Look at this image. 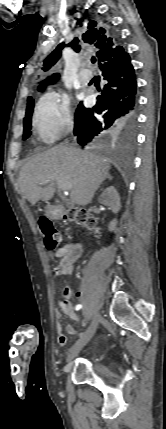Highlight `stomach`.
<instances>
[{"mask_svg":"<svg viewBox=\"0 0 166 429\" xmlns=\"http://www.w3.org/2000/svg\"><path fill=\"white\" fill-rule=\"evenodd\" d=\"M49 213H50V214H52V215H54V214H55V213H53V212H51V211H50Z\"/></svg>","mask_w":166,"mask_h":429,"instance_id":"stomach-1","label":"stomach"}]
</instances>
